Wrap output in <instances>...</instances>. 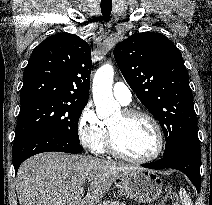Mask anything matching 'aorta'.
<instances>
[{
    "instance_id": "aorta-1",
    "label": "aorta",
    "mask_w": 212,
    "mask_h": 205,
    "mask_svg": "<svg viewBox=\"0 0 212 205\" xmlns=\"http://www.w3.org/2000/svg\"><path fill=\"white\" fill-rule=\"evenodd\" d=\"M114 78L113 66L109 63L102 65L93 78L92 92L99 117H107L114 111H118L120 106L115 102L112 93Z\"/></svg>"
}]
</instances>
